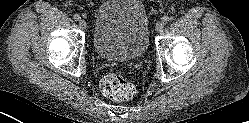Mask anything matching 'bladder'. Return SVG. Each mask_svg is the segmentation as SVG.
<instances>
[{
    "label": "bladder",
    "instance_id": "31cf9c89",
    "mask_svg": "<svg viewBox=\"0 0 249 123\" xmlns=\"http://www.w3.org/2000/svg\"><path fill=\"white\" fill-rule=\"evenodd\" d=\"M149 19L140 0H105L96 11L92 43L108 60L141 57L148 48Z\"/></svg>",
    "mask_w": 249,
    "mask_h": 123
}]
</instances>
